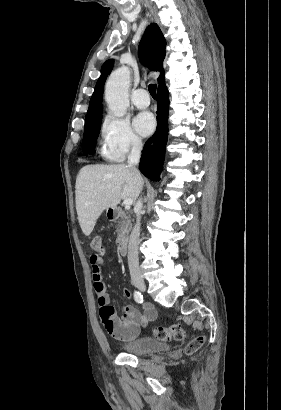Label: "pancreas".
Here are the masks:
<instances>
[{
	"label": "pancreas",
	"mask_w": 281,
	"mask_h": 410,
	"mask_svg": "<svg viewBox=\"0 0 281 410\" xmlns=\"http://www.w3.org/2000/svg\"><path fill=\"white\" fill-rule=\"evenodd\" d=\"M131 227V216L124 212H120L117 229V243H121L124 239L127 238Z\"/></svg>",
	"instance_id": "1"
}]
</instances>
